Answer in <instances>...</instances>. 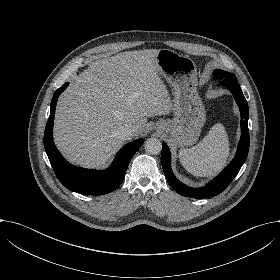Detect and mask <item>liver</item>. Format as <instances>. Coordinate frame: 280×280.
Here are the masks:
<instances>
[{
    "label": "liver",
    "mask_w": 280,
    "mask_h": 280,
    "mask_svg": "<svg viewBox=\"0 0 280 280\" xmlns=\"http://www.w3.org/2000/svg\"><path fill=\"white\" fill-rule=\"evenodd\" d=\"M155 49L120 52L93 60L65 89L57 106L53 140L70 164L104 170L125 144L128 127L145 135L147 117L167 114L170 101L156 72Z\"/></svg>",
    "instance_id": "6515ba94"
}]
</instances>
